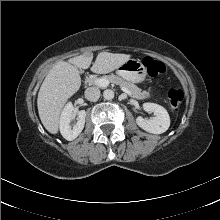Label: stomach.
I'll list each match as a JSON object with an SVG mask.
<instances>
[{
    "label": "stomach",
    "mask_w": 220,
    "mask_h": 220,
    "mask_svg": "<svg viewBox=\"0 0 220 220\" xmlns=\"http://www.w3.org/2000/svg\"><path fill=\"white\" fill-rule=\"evenodd\" d=\"M117 73L132 83H141L146 78V68L139 59H128L118 67Z\"/></svg>",
    "instance_id": "0dacf381"
}]
</instances>
